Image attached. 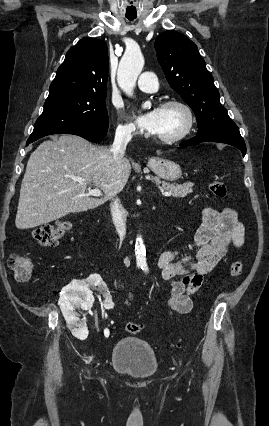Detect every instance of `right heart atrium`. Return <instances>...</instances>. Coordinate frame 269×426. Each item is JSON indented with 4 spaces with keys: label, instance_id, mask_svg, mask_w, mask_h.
<instances>
[{
    "label": "right heart atrium",
    "instance_id": "obj_1",
    "mask_svg": "<svg viewBox=\"0 0 269 426\" xmlns=\"http://www.w3.org/2000/svg\"><path fill=\"white\" fill-rule=\"evenodd\" d=\"M116 131L119 135L124 137H131L136 133L135 126L132 123L126 121L120 112Z\"/></svg>",
    "mask_w": 269,
    "mask_h": 426
}]
</instances>
